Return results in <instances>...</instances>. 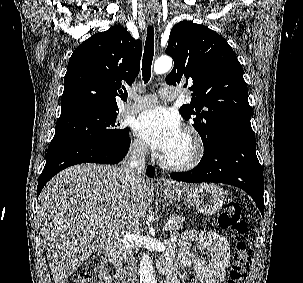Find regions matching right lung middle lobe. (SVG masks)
Here are the masks:
<instances>
[{
  "mask_svg": "<svg viewBox=\"0 0 303 283\" xmlns=\"http://www.w3.org/2000/svg\"><path fill=\"white\" fill-rule=\"evenodd\" d=\"M116 111L86 110L60 116L51 143L83 140L103 144H121L128 129L119 128Z\"/></svg>",
  "mask_w": 303,
  "mask_h": 283,
  "instance_id": "1",
  "label": "right lung middle lobe"
}]
</instances>
